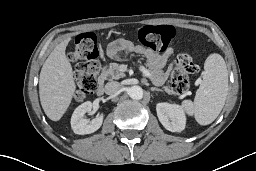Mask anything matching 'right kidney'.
Listing matches in <instances>:
<instances>
[{
	"label": "right kidney",
	"instance_id": "right-kidney-1",
	"mask_svg": "<svg viewBox=\"0 0 256 171\" xmlns=\"http://www.w3.org/2000/svg\"><path fill=\"white\" fill-rule=\"evenodd\" d=\"M92 107L93 104L90 101H87L75 109L71 117V127L74 133L79 135L91 134L101 127L104 118L103 114L94 118L90 124H88L89 121L84 118L86 113H91Z\"/></svg>",
	"mask_w": 256,
	"mask_h": 171
}]
</instances>
